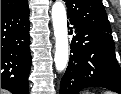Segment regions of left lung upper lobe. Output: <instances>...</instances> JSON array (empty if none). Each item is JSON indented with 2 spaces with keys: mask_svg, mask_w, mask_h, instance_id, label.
<instances>
[{
  "mask_svg": "<svg viewBox=\"0 0 121 94\" xmlns=\"http://www.w3.org/2000/svg\"><path fill=\"white\" fill-rule=\"evenodd\" d=\"M70 20L112 33L102 0H64Z\"/></svg>",
  "mask_w": 121,
  "mask_h": 94,
  "instance_id": "obj_1",
  "label": "left lung upper lobe"
}]
</instances>
